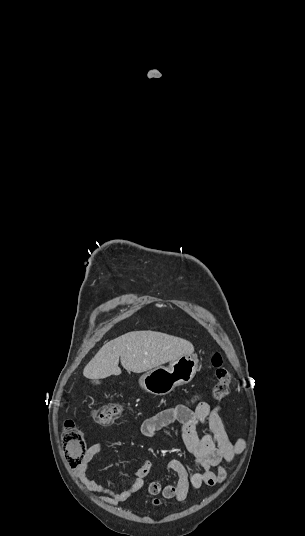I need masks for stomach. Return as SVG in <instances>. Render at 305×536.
<instances>
[{"instance_id":"stomach-1","label":"stomach","mask_w":305,"mask_h":536,"mask_svg":"<svg viewBox=\"0 0 305 536\" xmlns=\"http://www.w3.org/2000/svg\"><path fill=\"white\" fill-rule=\"evenodd\" d=\"M198 364L197 354L180 356L178 360L170 362L168 368L158 366L147 374H143L139 378V386L155 396H165V394L172 392L176 386H183V384L191 382L197 372Z\"/></svg>"}]
</instances>
